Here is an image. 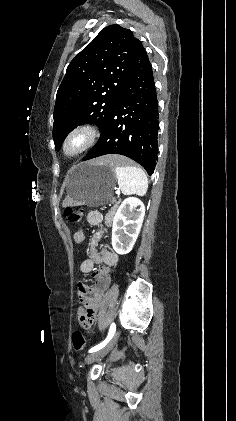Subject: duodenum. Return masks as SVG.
I'll use <instances>...</instances> for the list:
<instances>
[{
    "instance_id": "410a0bca",
    "label": "duodenum",
    "mask_w": 236,
    "mask_h": 421,
    "mask_svg": "<svg viewBox=\"0 0 236 421\" xmlns=\"http://www.w3.org/2000/svg\"><path fill=\"white\" fill-rule=\"evenodd\" d=\"M98 258L105 264V267L96 271L97 285L94 289L88 290L83 297V302L87 309L83 313L84 318H86L88 312H91V316H95L98 311L103 293L109 283V269L116 264L118 256L111 250H105L101 256L94 255L92 261L94 262Z\"/></svg>"
}]
</instances>
